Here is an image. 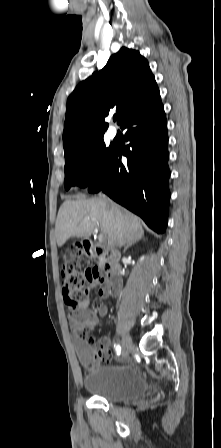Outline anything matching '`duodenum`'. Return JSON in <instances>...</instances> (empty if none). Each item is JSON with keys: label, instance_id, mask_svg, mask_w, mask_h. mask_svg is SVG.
Returning <instances> with one entry per match:
<instances>
[{"label": "duodenum", "instance_id": "410a0bca", "mask_svg": "<svg viewBox=\"0 0 221 448\" xmlns=\"http://www.w3.org/2000/svg\"><path fill=\"white\" fill-rule=\"evenodd\" d=\"M83 251L87 257L98 260L106 276L103 286L107 293L113 295L118 294L121 286V281L119 278L120 270L110 253L104 251L100 247L93 246L88 240L83 241Z\"/></svg>", "mask_w": 221, "mask_h": 448}]
</instances>
